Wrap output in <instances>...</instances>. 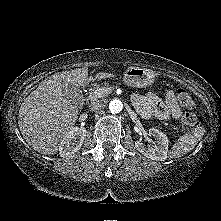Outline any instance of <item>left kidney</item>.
I'll use <instances>...</instances> for the list:
<instances>
[{
	"label": "left kidney",
	"instance_id": "left-kidney-1",
	"mask_svg": "<svg viewBox=\"0 0 221 221\" xmlns=\"http://www.w3.org/2000/svg\"><path fill=\"white\" fill-rule=\"evenodd\" d=\"M149 136L155 138L156 145L147 148L142 142L136 141L135 147L145 157L151 160L164 161L167 158L169 140L163 132L155 128L149 129Z\"/></svg>",
	"mask_w": 221,
	"mask_h": 221
}]
</instances>
